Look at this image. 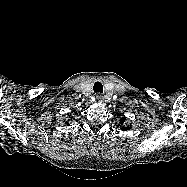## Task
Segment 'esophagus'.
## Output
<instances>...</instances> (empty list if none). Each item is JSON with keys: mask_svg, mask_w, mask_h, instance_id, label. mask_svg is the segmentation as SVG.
I'll use <instances>...</instances> for the list:
<instances>
[{"mask_svg": "<svg viewBox=\"0 0 187 187\" xmlns=\"http://www.w3.org/2000/svg\"><path fill=\"white\" fill-rule=\"evenodd\" d=\"M96 99L98 102H102V95L101 94H96Z\"/></svg>", "mask_w": 187, "mask_h": 187, "instance_id": "esophagus-1", "label": "esophagus"}]
</instances>
